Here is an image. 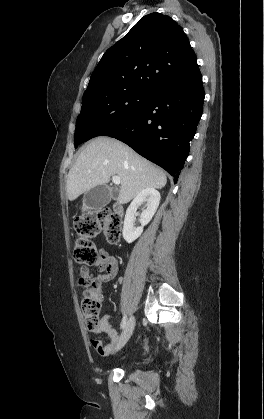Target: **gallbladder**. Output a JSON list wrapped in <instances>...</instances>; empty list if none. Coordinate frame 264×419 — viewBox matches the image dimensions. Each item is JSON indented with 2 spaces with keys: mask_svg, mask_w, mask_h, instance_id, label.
I'll return each instance as SVG.
<instances>
[{
  "mask_svg": "<svg viewBox=\"0 0 264 419\" xmlns=\"http://www.w3.org/2000/svg\"><path fill=\"white\" fill-rule=\"evenodd\" d=\"M117 194V190L111 193L106 185L96 186L84 194L83 207L84 209H101L109 203L111 197H116Z\"/></svg>",
  "mask_w": 264,
  "mask_h": 419,
  "instance_id": "bac80fb5",
  "label": "gallbladder"
}]
</instances>
